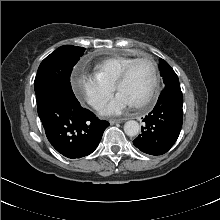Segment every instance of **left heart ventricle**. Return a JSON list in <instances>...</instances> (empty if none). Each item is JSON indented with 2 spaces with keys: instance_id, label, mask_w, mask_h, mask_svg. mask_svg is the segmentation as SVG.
<instances>
[{
  "instance_id": "left-heart-ventricle-1",
  "label": "left heart ventricle",
  "mask_w": 220,
  "mask_h": 220,
  "mask_svg": "<svg viewBox=\"0 0 220 220\" xmlns=\"http://www.w3.org/2000/svg\"><path fill=\"white\" fill-rule=\"evenodd\" d=\"M152 84V69L148 61L136 64L119 92L127 96L133 104L143 101L149 94Z\"/></svg>"
}]
</instances>
